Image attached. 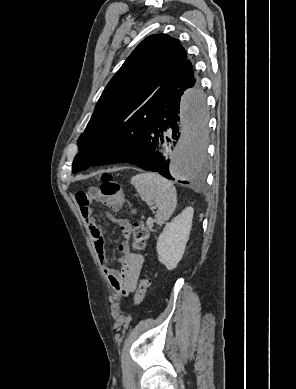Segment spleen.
Masks as SVG:
<instances>
[{"instance_id": "1", "label": "spleen", "mask_w": 296, "mask_h": 389, "mask_svg": "<svg viewBox=\"0 0 296 389\" xmlns=\"http://www.w3.org/2000/svg\"><path fill=\"white\" fill-rule=\"evenodd\" d=\"M131 184L142 200L155 204V219L160 225L173 215L177 205V192L171 181L156 173H140L132 177Z\"/></svg>"}]
</instances>
